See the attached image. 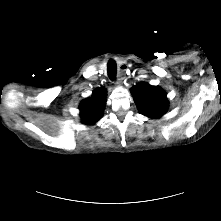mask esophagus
Returning <instances> with one entry per match:
<instances>
[{
  "instance_id": "1",
  "label": "esophagus",
  "mask_w": 221,
  "mask_h": 221,
  "mask_svg": "<svg viewBox=\"0 0 221 221\" xmlns=\"http://www.w3.org/2000/svg\"><path fill=\"white\" fill-rule=\"evenodd\" d=\"M123 67H124V66H123ZM124 71H125V69H120V74H119V76H118V79H117V81H116V84L119 85V84L122 82V80H123L122 75H123Z\"/></svg>"
}]
</instances>
